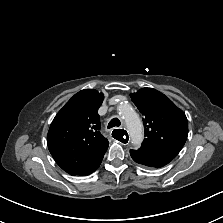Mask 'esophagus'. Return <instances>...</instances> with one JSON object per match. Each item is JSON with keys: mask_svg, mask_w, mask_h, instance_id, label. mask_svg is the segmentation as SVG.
<instances>
[{"mask_svg": "<svg viewBox=\"0 0 223 223\" xmlns=\"http://www.w3.org/2000/svg\"><path fill=\"white\" fill-rule=\"evenodd\" d=\"M111 133L114 140L123 145L129 144L130 137L125 129L114 128Z\"/></svg>", "mask_w": 223, "mask_h": 223, "instance_id": "34e87169", "label": "esophagus"}]
</instances>
